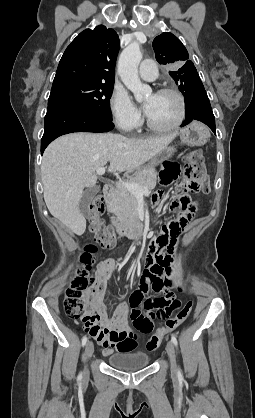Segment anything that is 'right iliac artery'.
Wrapping results in <instances>:
<instances>
[{"label":"right iliac artery","instance_id":"1","mask_svg":"<svg viewBox=\"0 0 255 418\" xmlns=\"http://www.w3.org/2000/svg\"><path fill=\"white\" fill-rule=\"evenodd\" d=\"M86 342H87V337H86V336H84V337H83V339H82V346H84V345L86 344ZM78 379H79V380H81V379H82V374H80V375L78 376Z\"/></svg>","mask_w":255,"mask_h":418}]
</instances>
